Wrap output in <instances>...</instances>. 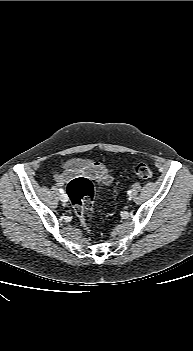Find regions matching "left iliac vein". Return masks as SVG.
Masks as SVG:
<instances>
[{
    "label": "left iliac vein",
    "instance_id": "1",
    "mask_svg": "<svg viewBox=\"0 0 193 351\" xmlns=\"http://www.w3.org/2000/svg\"><path fill=\"white\" fill-rule=\"evenodd\" d=\"M129 200H131L132 199V196L131 195H129V198H128Z\"/></svg>",
    "mask_w": 193,
    "mask_h": 351
}]
</instances>
